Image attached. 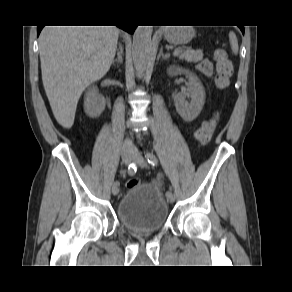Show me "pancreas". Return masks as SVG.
Returning a JSON list of instances; mask_svg holds the SVG:
<instances>
[{"mask_svg": "<svg viewBox=\"0 0 292 292\" xmlns=\"http://www.w3.org/2000/svg\"><path fill=\"white\" fill-rule=\"evenodd\" d=\"M176 51H178V57L182 60H186L188 62H198L203 59V53L200 50H192L190 48L182 49L177 48Z\"/></svg>", "mask_w": 292, "mask_h": 292, "instance_id": "obj_1", "label": "pancreas"}]
</instances>
